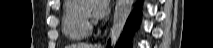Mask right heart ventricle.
<instances>
[{
	"mask_svg": "<svg viewBox=\"0 0 213 48\" xmlns=\"http://www.w3.org/2000/svg\"><path fill=\"white\" fill-rule=\"evenodd\" d=\"M62 30L70 40H82L90 34V27L84 22L77 0L65 1L62 14Z\"/></svg>",
	"mask_w": 213,
	"mask_h": 48,
	"instance_id": "1",
	"label": "right heart ventricle"
}]
</instances>
